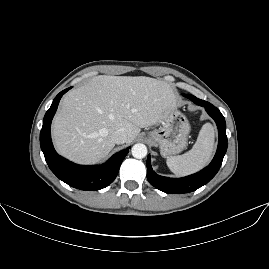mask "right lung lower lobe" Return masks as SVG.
<instances>
[{
  "label": "right lung lower lobe",
  "mask_w": 269,
  "mask_h": 269,
  "mask_svg": "<svg viewBox=\"0 0 269 269\" xmlns=\"http://www.w3.org/2000/svg\"><path fill=\"white\" fill-rule=\"evenodd\" d=\"M69 89L60 92L46 112L40 132V146L49 168L60 180L80 190H99L114 181L130 147L114 154L105 164L99 166L77 165L59 156L51 141L50 127L59 101Z\"/></svg>",
  "instance_id": "98d812e1"
}]
</instances>
